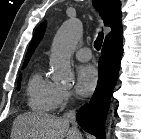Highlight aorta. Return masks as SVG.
<instances>
[{"label":"aorta","instance_id":"1","mask_svg":"<svg viewBox=\"0 0 141 139\" xmlns=\"http://www.w3.org/2000/svg\"><path fill=\"white\" fill-rule=\"evenodd\" d=\"M82 32V23L78 19H70L64 22L57 31L50 56V65L53 69L55 81L68 83L73 80L70 58L82 36Z\"/></svg>","mask_w":141,"mask_h":139}]
</instances>
